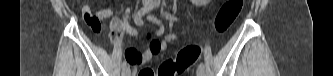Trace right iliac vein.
Wrapping results in <instances>:
<instances>
[{"label":"right iliac vein","mask_w":333,"mask_h":76,"mask_svg":"<svg viewBox=\"0 0 333 76\" xmlns=\"http://www.w3.org/2000/svg\"><path fill=\"white\" fill-rule=\"evenodd\" d=\"M130 75V70L129 69H124L122 71V76H129Z\"/></svg>","instance_id":"63e3f726"}]
</instances>
